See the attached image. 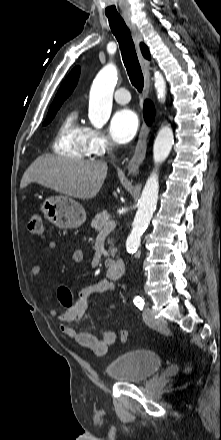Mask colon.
Returning <instances> with one entry per match:
<instances>
[{"instance_id": "1", "label": "colon", "mask_w": 221, "mask_h": 440, "mask_svg": "<svg viewBox=\"0 0 221 440\" xmlns=\"http://www.w3.org/2000/svg\"><path fill=\"white\" fill-rule=\"evenodd\" d=\"M28 229L33 235L39 238L43 239L46 236L43 219L40 214H33L30 217L28 222ZM57 295L65 306L63 312L66 315H69L72 312V309L69 306L74 307L76 305L75 297H71L70 290L65 285H61L58 287ZM114 329L118 332L119 339H121L123 342H126L129 337L128 330H124L122 324L120 323L115 324Z\"/></svg>"}]
</instances>
